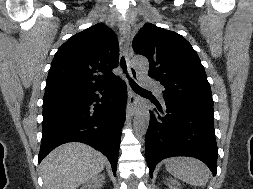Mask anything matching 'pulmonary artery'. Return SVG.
Wrapping results in <instances>:
<instances>
[{
	"instance_id": "e3ab8cb5",
	"label": "pulmonary artery",
	"mask_w": 253,
	"mask_h": 189,
	"mask_svg": "<svg viewBox=\"0 0 253 189\" xmlns=\"http://www.w3.org/2000/svg\"><path fill=\"white\" fill-rule=\"evenodd\" d=\"M141 83L143 86L148 88H157L155 81L149 76H142Z\"/></svg>"
}]
</instances>
